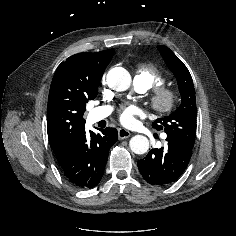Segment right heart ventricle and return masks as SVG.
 Listing matches in <instances>:
<instances>
[{
  "label": "right heart ventricle",
  "instance_id": "obj_1",
  "mask_svg": "<svg viewBox=\"0 0 236 236\" xmlns=\"http://www.w3.org/2000/svg\"><path fill=\"white\" fill-rule=\"evenodd\" d=\"M135 81L146 89L162 84L164 77L159 69L153 64L141 66L137 70Z\"/></svg>",
  "mask_w": 236,
  "mask_h": 236
}]
</instances>
